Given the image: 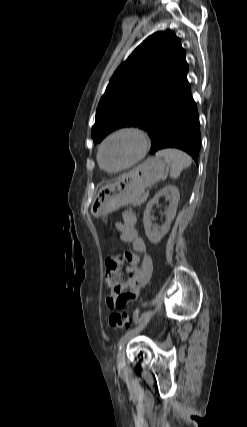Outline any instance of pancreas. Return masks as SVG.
Segmentation results:
<instances>
[{
	"mask_svg": "<svg viewBox=\"0 0 247 427\" xmlns=\"http://www.w3.org/2000/svg\"><path fill=\"white\" fill-rule=\"evenodd\" d=\"M147 197H148V193H144L140 198H139V200H137L135 203H134V205L135 206H139V205H141L146 199H147Z\"/></svg>",
	"mask_w": 247,
	"mask_h": 427,
	"instance_id": "obj_1",
	"label": "pancreas"
}]
</instances>
